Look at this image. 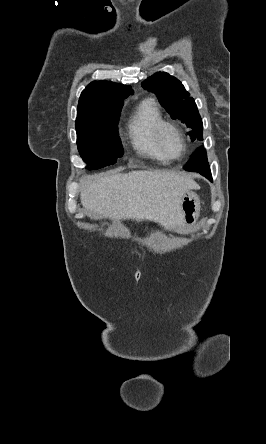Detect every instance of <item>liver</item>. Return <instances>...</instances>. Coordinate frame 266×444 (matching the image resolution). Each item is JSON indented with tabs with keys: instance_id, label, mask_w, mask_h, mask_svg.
Instances as JSON below:
<instances>
[{
	"instance_id": "obj_1",
	"label": "liver",
	"mask_w": 266,
	"mask_h": 444,
	"mask_svg": "<svg viewBox=\"0 0 266 444\" xmlns=\"http://www.w3.org/2000/svg\"><path fill=\"white\" fill-rule=\"evenodd\" d=\"M196 188L193 179L181 172L132 171L88 177L80 198L93 219L149 220L182 232L181 199Z\"/></svg>"
}]
</instances>
